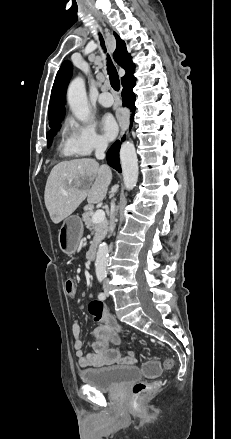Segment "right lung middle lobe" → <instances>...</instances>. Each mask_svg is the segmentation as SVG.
<instances>
[{"label":"right lung middle lobe","mask_w":231,"mask_h":439,"mask_svg":"<svg viewBox=\"0 0 231 439\" xmlns=\"http://www.w3.org/2000/svg\"><path fill=\"white\" fill-rule=\"evenodd\" d=\"M51 128L52 129L46 134L47 142H48L47 147L51 146L52 138L57 133V131L59 130L60 125H57V126H54V127H51Z\"/></svg>","instance_id":"right-lung-middle-lobe-1"}]
</instances>
